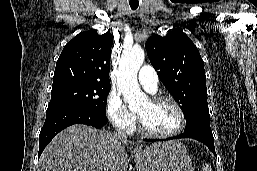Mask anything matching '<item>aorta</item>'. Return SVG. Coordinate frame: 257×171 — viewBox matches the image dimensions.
Returning a JSON list of instances; mask_svg holds the SVG:
<instances>
[{
  "label": "aorta",
  "mask_w": 257,
  "mask_h": 171,
  "mask_svg": "<svg viewBox=\"0 0 257 171\" xmlns=\"http://www.w3.org/2000/svg\"><path fill=\"white\" fill-rule=\"evenodd\" d=\"M144 59V50L141 47H133L123 52L119 63L118 89L128 102L130 109L138 107L147 100L137 81V73Z\"/></svg>",
  "instance_id": "obj_1"
}]
</instances>
